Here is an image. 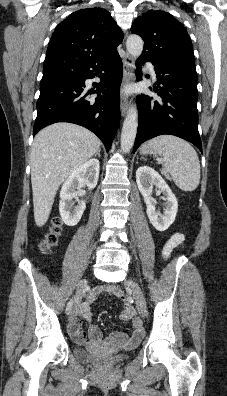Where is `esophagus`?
<instances>
[{
    "label": "esophagus",
    "instance_id": "1",
    "mask_svg": "<svg viewBox=\"0 0 227 396\" xmlns=\"http://www.w3.org/2000/svg\"><path fill=\"white\" fill-rule=\"evenodd\" d=\"M133 68H134V59L129 54H126L123 60V86L129 83L133 79ZM128 108H129L128 97L122 94L120 101V109H121V115L123 117L126 115Z\"/></svg>",
    "mask_w": 227,
    "mask_h": 396
}]
</instances>
